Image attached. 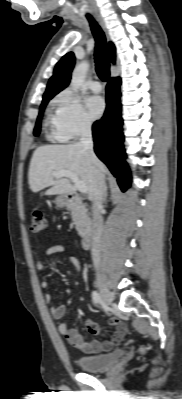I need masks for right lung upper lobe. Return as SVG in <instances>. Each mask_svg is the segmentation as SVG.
<instances>
[{
	"instance_id": "obj_1",
	"label": "right lung upper lobe",
	"mask_w": 182,
	"mask_h": 399,
	"mask_svg": "<svg viewBox=\"0 0 182 399\" xmlns=\"http://www.w3.org/2000/svg\"><path fill=\"white\" fill-rule=\"evenodd\" d=\"M109 57L112 63H115V46L109 43ZM75 64V57L72 52L67 53L56 64L53 76L50 78L43 99L52 98L61 90L66 88L71 79V72Z\"/></svg>"
}]
</instances>
